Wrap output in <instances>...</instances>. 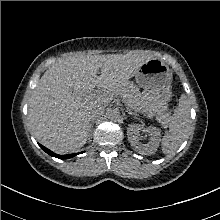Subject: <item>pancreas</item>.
Segmentation results:
<instances>
[{
	"instance_id": "1",
	"label": "pancreas",
	"mask_w": 220,
	"mask_h": 220,
	"mask_svg": "<svg viewBox=\"0 0 220 220\" xmlns=\"http://www.w3.org/2000/svg\"><path fill=\"white\" fill-rule=\"evenodd\" d=\"M119 95L123 98L124 102L134 108V106L139 105V100L142 96L141 93H138V88L131 82H127L123 90L119 93ZM152 112L154 115L158 116L160 119L168 122L169 114L165 113V106L158 103L152 104Z\"/></svg>"
}]
</instances>
